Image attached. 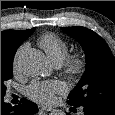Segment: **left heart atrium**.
<instances>
[{
  "mask_svg": "<svg viewBox=\"0 0 115 115\" xmlns=\"http://www.w3.org/2000/svg\"><path fill=\"white\" fill-rule=\"evenodd\" d=\"M65 85L60 80L33 81L25 89V94L31 100L43 105L54 102L55 95L62 93Z\"/></svg>",
  "mask_w": 115,
  "mask_h": 115,
  "instance_id": "39dd6f15",
  "label": "left heart atrium"
}]
</instances>
